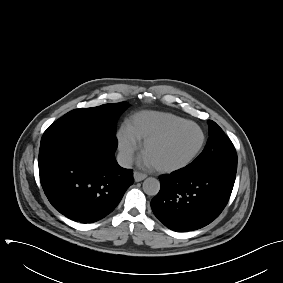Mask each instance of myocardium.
Returning <instances> with one entry per match:
<instances>
[{
    "label": "myocardium",
    "mask_w": 283,
    "mask_h": 283,
    "mask_svg": "<svg viewBox=\"0 0 283 283\" xmlns=\"http://www.w3.org/2000/svg\"><path fill=\"white\" fill-rule=\"evenodd\" d=\"M183 125H192L194 127H196L198 129V131L200 132L201 138L199 141V144L197 145L196 149L192 152V154L190 156H188L185 160L174 164V165H170V166H155L152 165L153 169L156 170L159 173H174L177 171H180L186 167H188L190 164H192L196 158L200 155V153L202 152L205 142H206V135L204 130L202 129V127L200 125H198L196 122L191 121V120H183L180 122H177L169 127H167L166 129L162 130L161 132L146 138L142 144H141V153L144 155L146 148L153 143L162 141L163 139H165L168 135H170L174 130H176L177 128L183 126Z\"/></svg>",
    "instance_id": "myocardium-1"
}]
</instances>
